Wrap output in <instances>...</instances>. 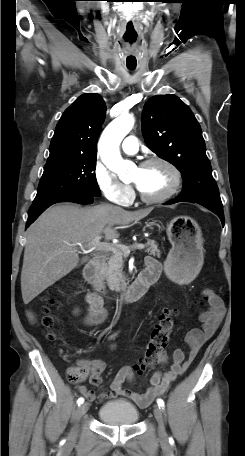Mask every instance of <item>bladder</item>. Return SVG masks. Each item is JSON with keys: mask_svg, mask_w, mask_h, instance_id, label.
<instances>
[{"mask_svg": "<svg viewBox=\"0 0 245 456\" xmlns=\"http://www.w3.org/2000/svg\"><path fill=\"white\" fill-rule=\"evenodd\" d=\"M98 416L107 425L132 426L137 423L139 412L130 402L112 400L101 406Z\"/></svg>", "mask_w": 245, "mask_h": 456, "instance_id": "obj_1", "label": "bladder"}]
</instances>
